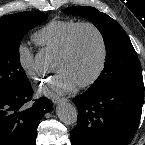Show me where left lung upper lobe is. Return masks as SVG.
<instances>
[{"instance_id": "1", "label": "left lung upper lobe", "mask_w": 145, "mask_h": 145, "mask_svg": "<svg viewBox=\"0 0 145 145\" xmlns=\"http://www.w3.org/2000/svg\"><path fill=\"white\" fill-rule=\"evenodd\" d=\"M62 11L92 21L104 39L107 54L104 69L88 90L99 91L117 85L143 81L137 53L120 24L107 14L89 6L68 7Z\"/></svg>"}]
</instances>
